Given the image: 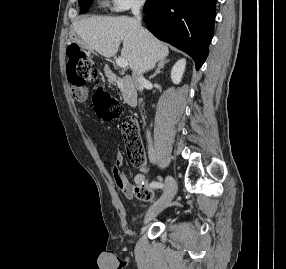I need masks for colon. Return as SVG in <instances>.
Returning a JSON list of instances; mask_svg holds the SVG:
<instances>
[{"label":"colon","mask_w":286,"mask_h":269,"mask_svg":"<svg viewBox=\"0 0 286 269\" xmlns=\"http://www.w3.org/2000/svg\"><path fill=\"white\" fill-rule=\"evenodd\" d=\"M67 73L72 84L73 97L78 96L79 89L87 83L96 82L99 77L98 66L94 58L71 43L66 49ZM95 112L105 119L113 120L122 114V106L106 90L98 89L94 96ZM121 130L125 148L131 164L134 167H142L145 164V152L140 139L138 122L134 117H125L121 122ZM135 197L141 201L149 202L154 198V192L146 182L135 186Z\"/></svg>","instance_id":"5ec220e1"}]
</instances>
